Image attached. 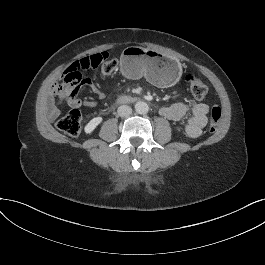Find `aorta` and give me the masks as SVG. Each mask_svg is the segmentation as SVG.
I'll return each instance as SVG.
<instances>
[{
    "label": "aorta",
    "instance_id": "1",
    "mask_svg": "<svg viewBox=\"0 0 265 265\" xmlns=\"http://www.w3.org/2000/svg\"><path fill=\"white\" fill-rule=\"evenodd\" d=\"M135 111L138 114H146L149 111V106L147 103L139 101L135 104Z\"/></svg>",
    "mask_w": 265,
    "mask_h": 265
}]
</instances>
